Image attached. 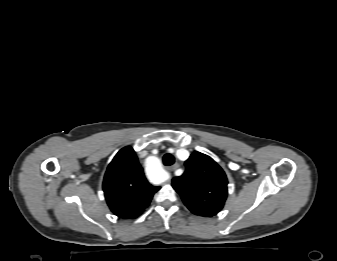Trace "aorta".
<instances>
[{"mask_svg":"<svg viewBox=\"0 0 337 261\" xmlns=\"http://www.w3.org/2000/svg\"><path fill=\"white\" fill-rule=\"evenodd\" d=\"M155 162H154V164H155V166H158V160L157 159H155L154 160ZM161 173L163 172L162 170H159Z\"/></svg>","mask_w":337,"mask_h":261,"instance_id":"762f6f07","label":"aorta"}]
</instances>
